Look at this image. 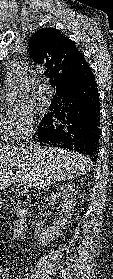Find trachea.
<instances>
[{
  "instance_id": "1",
  "label": "trachea",
  "mask_w": 113,
  "mask_h": 279,
  "mask_svg": "<svg viewBox=\"0 0 113 279\" xmlns=\"http://www.w3.org/2000/svg\"><path fill=\"white\" fill-rule=\"evenodd\" d=\"M50 83H51V85H53V84H54V81H53L52 79H50Z\"/></svg>"
}]
</instances>
